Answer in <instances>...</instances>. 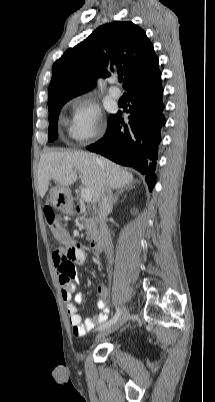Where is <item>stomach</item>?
I'll return each instance as SVG.
<instances>
[{
  "label": "stomach",
  "mask_w": 215,
  "mask_h": 402,
  "mask_svg": "<svg viewBox=\"0 0 215 402\" xmlns=\"http://www.w3.org/2000/svg\"><path fill=\"white\" fill-rule=\"evenodd\" d=\"M50 202L65 214L73 212L71 192L68 187L57 185L50 190Z\"/></svg>",
  "instance_id": "0dacf381"
}]
</instances>
